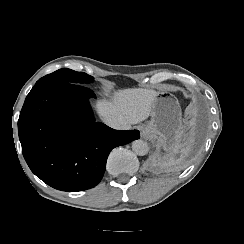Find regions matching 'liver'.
<instances>
[{
	"label": "liver",
	"mask_w": 244,
	"mask_h": 244,
	"mask_svg": "<svg viewBox=\"0 0 244 244\" xmlns=\"http://www.w3.org/2000/svg\"><path fill=\"white\" fill-rule=\"evenodd\" d=\"M157 94L140 89L118 92L114 103L100 102L98 111L102 117L125 120L128 125L146 121L152 115Z\"/></svg>",
	"instance_id": "liver-1"
}]
</instances>
